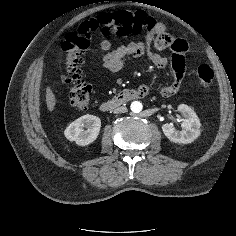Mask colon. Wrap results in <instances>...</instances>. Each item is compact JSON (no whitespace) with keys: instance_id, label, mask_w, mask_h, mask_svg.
Segmentation results:
<instances>
[{"instance_id":"obj_1","label":"colon","mask_w":236,"mask_h":236,"mask_svg":"<svg viewBox=\"0 0 236 236\" xmlns=\"http://www.w3.org/2000/svg\"><path fill=\"white\" fill-rule=\"evenodd\" d=\"M144 32H152L166 42L172 39L166 28L146 13L127 10L100 14L83 22L65 36L62 43L64 83L69 87V102L73 107L85 110L91 101L92 88L83 77L80 65L94 34L139 37ZM197 77L202 87H209L214 79V71L207 64L200 65Z\"/></svg>"}]
</instances>
